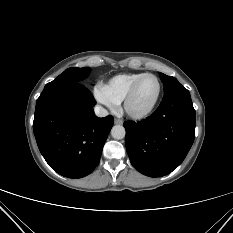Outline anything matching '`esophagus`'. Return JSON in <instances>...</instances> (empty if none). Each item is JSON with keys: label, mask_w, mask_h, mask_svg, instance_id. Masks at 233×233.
Returning <instances> with one entry per match:
<instances>
[{"label": "esophagus", "mask_w": 233, "mask_h": 233, "mask_svg": "<svg viewBox=\"0 0 233 233\" xmlns=\"http://www.w3.org/2000/svg\"><path fill=\"white\" fill-rule=\"evenodd\" d=\"M114 124H123V121L119 118L114 119Z\"/></svg>", "instance_id": "obj_1"}]
</instances>
